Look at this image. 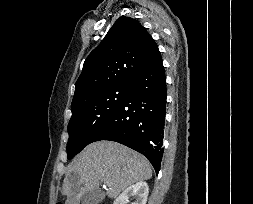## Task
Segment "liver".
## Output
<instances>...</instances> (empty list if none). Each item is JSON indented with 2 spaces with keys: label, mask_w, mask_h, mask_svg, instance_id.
Masks as SVG:
<instances>
[{
  "label": "liver",
  "mask_w": 253,
  "mask_h": 204,
  "mask_svg": "<svg viewBox=\"0 0 253 204\" xmlns=\"http://www.w3.org/2000/svg\"><path fill=\"white\" fill-rule=\"evenodd\" d=\"M152 169L147 159L119 143L98 141L89 144L71 162L63 181L65 204H80L84 194L107 186L109 198H116L132 184L148 180Z\"/></svg>",
  "instance_id": "6515ba94"
}]
</instances>
